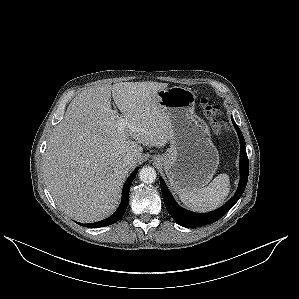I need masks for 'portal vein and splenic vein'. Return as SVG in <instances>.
<instances>
[{"label": "portal vein and splenic vein", "mask_w": 299, "mask_h": 299, "mask_svg": "<svg viewBox=\"0 0 299 299\" xmlns=\"http://www.w3.org/2000/svg\"><path fill=\"white\" fill-rule=\"evenodd\" d=\"M126 125H127V123L125 122V120H124V119H121V120H120V127H121V128H124Z\"/></svg>", "instance_id": "portal-vein-and-splenic-vein-1"}]
</instances>
